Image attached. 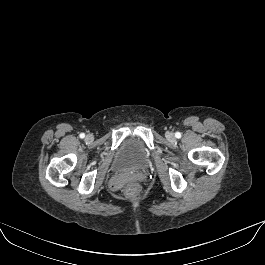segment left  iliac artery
<instances>
[{"label": "left iliac artery", "instance_id": "44dca946", "mask_svg": "<svg viewBox=\"0 0 265 265\" xmlns=\"http://www.w3.org/2000/svg\"><path fill=\"white\" fill-rule=\"evenodd\" d=\"M175 137H176V138H180V137H181V133H180V132H176V133H175Z\"/></svg>", "mask_w": 265, "mask_h": 265}]
</instances>
